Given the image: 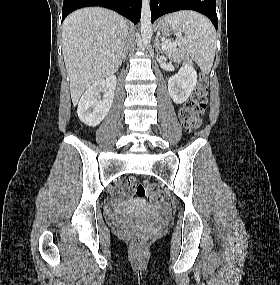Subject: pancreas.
I'll list each match as a JSON object with an SVG mask.
<instances>
[{"label":"pancreas","instance_id":"cf45deb5","mask_svg":"<svg viewBox=\"0 0 280 285\" xmlns=\"http://www.w3.org/2000/svg\"><path fill=\"white\" fill-rule=\"evenodd\" d=\"M166 43L168 42H165V44ZM166 53L169 55V57L174 59H183L184 57L187 58L186 51L184 49H178L176 47L167 49Z\"/></svg>","mask_w":280,"mask_h":285}]
</instances>
